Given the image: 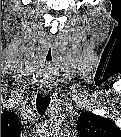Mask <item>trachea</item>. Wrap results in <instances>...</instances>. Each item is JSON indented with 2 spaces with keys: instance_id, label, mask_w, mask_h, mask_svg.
<instances>
[{
  "instance_id": "obj_1",
  "label": "trachea",
  "mask_w": 121,
  "mask_h": 137,
  "mask_svg": "<svg viewBox=\"0 0 121 137\" xmlns=\"http://www.w3.org/2000/svg\"><path fill=\"white\" fill-rule=\"evenodd\" d=\"M46 60L47 61L52 60V49L51 48L48 49V52L46 55ZM49 103H50V95L49 94H47L45 96L39 94L37 96V100H36V108H37L38 113L41 115H44Z\"/></svg>"
}]
</instances>
